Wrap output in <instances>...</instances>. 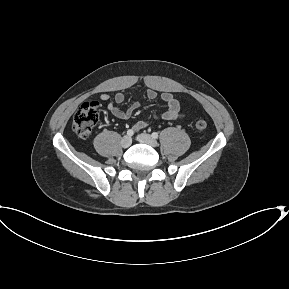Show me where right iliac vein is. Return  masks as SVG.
Segmentation results:
<instances>
[{"label": "right iliac vein", "instance_id": "1", "mask_svg": "<svg viewBox=\"0 0 289 289\" xmlns=\"http://www.w3.org/2000/svg\"><path fill=\"white\" fill-rule=\"evenodd\" d=\"M132 144V139L129 136H124L121 139V146L123 148H128Z\"/></svg>", "mask_w": 289, "mask_h": 289}]
</instances>
